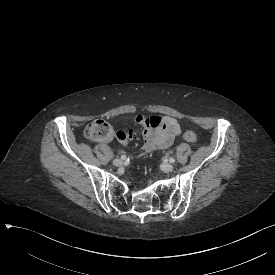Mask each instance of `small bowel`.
Instances as JSON below:
<instances>
[{
    "label": "small bowel",
    "instance_id": "c3829d8e",
    "mask_svg": "<svg viewBox=\"0 0 275 275\" xmlns=\"http://www.w3.org/2000/svg\"><path fill=\"white\" fill-rule=\"evenodd\" d=\"M134 121L143 127V144L137 156L168 148L174 138L181 133V126L174 118L139 114L135 116ZM133 135V130H129L126 134V131L121 129L116 132V139L121 144L127 145Z\"/></svg>",
    "mask_w": 275,
    "mask_h": 275
}]
</instances>
